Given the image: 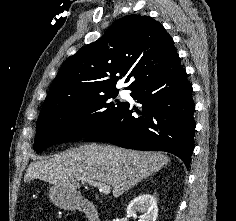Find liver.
I'll list each match as a JSON object with an SVG mask.
<instances>
[{
	"mask_svg": "<svg viewBox=\"0 0 236 221\" xmlns=\"http://www.w3.org/2000/svg\"><path fill=\"white\" fill-rule=\"evenodd\" d=\"M170 162L164 154L111 145L86 144L29 165L24 180L40 179L77 192L84 177L112 187L114 198Z\"/></svg>",
	"mask_w": 236,
	"mask_h": 221,
	"instance_id": "1",
	"label": "liver"
}]
</instances>
